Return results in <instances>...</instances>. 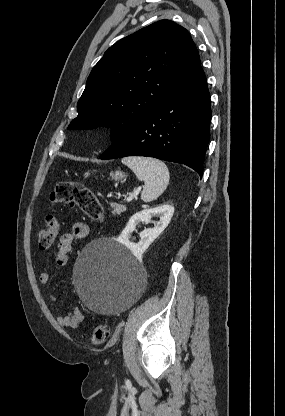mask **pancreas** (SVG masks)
Wrapping results in <instances>:
<instances>
[{"label": "pancreas", "instance_id": "pancreas-1", "mask_svg": "<svg viewBox=\"0 0 285 416\" xmlns=\"http://www.w3.org/2000/svg\"><path fill=\"white\" fill-rule=\"evenodd\" d=\"M112 208L113 212H111V214H113V216H116V214H121V212H125L126 210V206H121V204H112Z\"/></svg>", "mask_w": 285, "mask_h": 416}]
</instances>
